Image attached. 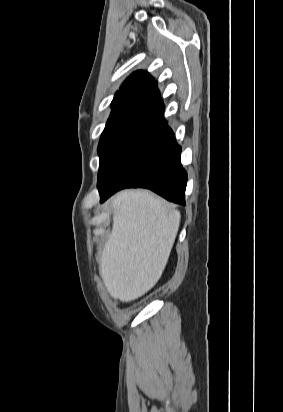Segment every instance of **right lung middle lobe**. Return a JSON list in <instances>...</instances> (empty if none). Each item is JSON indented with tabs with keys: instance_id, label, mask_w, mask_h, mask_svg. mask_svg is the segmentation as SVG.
I'll use <instances>...</instances> for the list:
<instances>
[{
	"instance_id": "right-lung-middle-lobe-1",
	"label": "right lung middle lobe",
	"mask_w": 283,
	"mask_h": 412,
	"mask_svg": "<svg viewBox=\"0 0 283 412\" xmlns=\"http://www.w3.org/2000/svg\"><path fill=\"white\" fill-rule=\"evenodd\" d=\"M162 114L122 115L109 118L98 145L102 179L140 141L144 133L162 118Z\"/></svg>"
}]
</instances>
